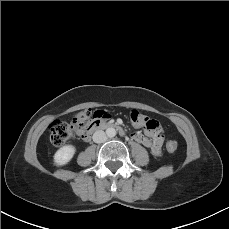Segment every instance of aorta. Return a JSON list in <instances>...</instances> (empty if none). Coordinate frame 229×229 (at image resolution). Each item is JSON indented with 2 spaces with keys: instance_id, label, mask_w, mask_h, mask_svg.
<instances>
[{
  "instance_id": "1",
  "label": "aorta",
  "mask_w": 229,
  "mask_h": 229,
  "mask_svg": "<svg viewBox=\"0 0 229 229\" xmlns=\"http://www.w3.org/2000/svg\"><path fill=\"white\" fill-rule=\"evenodd\" d=\"M106 134L109 138H113L116 135V130L112 127L107 128Z\"/></svg>"
}]
</instances>
